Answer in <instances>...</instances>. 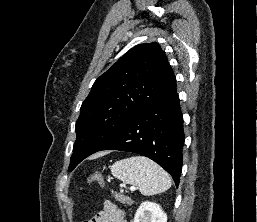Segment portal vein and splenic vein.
Masks as SVG:
<instances>
[{"label": "portal vein and splenic vein", "instance_id": "obj_1", "mask_svg": "<svg viewBox=\"0 0 257 222\" xmlns=\"http://www.w3.org/2000/svg\"><path fill=\"white\" fill-rule=\"evenodd\" d=\"M130 190H135V188L134 187H130Z\"/></svg>", "mask_w": 257, "mask_h": 222}]
</instances>
